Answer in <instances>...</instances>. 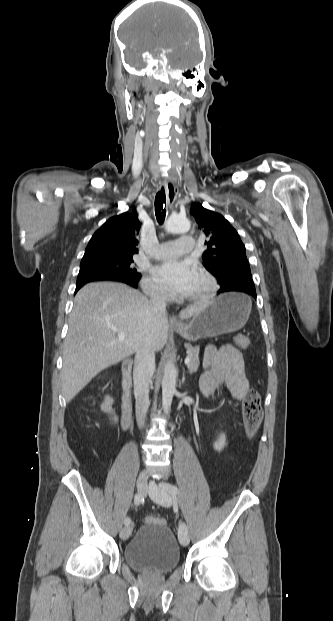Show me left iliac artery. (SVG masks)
<instances>
[{"label": "left iliac artery", "instance_id": "left-iliac-artery-1", "mask_svg": "<svg viewBox=\"0 0 333 621\" xmlns=\"http://www.w3.org/2000/svg\"><path fill=\"white\" fill-rule=\"evenodd\" d=\"M160 486L168 491L172 496H175L179 493V489L170 483H160Z\"/></svg>", "mask_w": 333, "mask_h": 621}]
</instances>
